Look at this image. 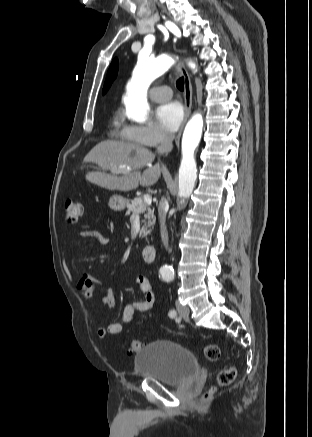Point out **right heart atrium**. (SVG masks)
Instances as JSON below:
<instances>
[{
	"label": "right heart atrium",
	"mask_w": 312,
	"mask_h": 437,
	"mask_svg": "<svg viewBox=\"0 0 312 437\" xmlns=\"http://www.w3.org/2000/svg\"><path fill=\"white\" fill-rule=\"evenodd\" d=\"M121 138L150 147L167 143L170 139L169 135L153 122L127 124L122 129Z\"/></svg>",
	"instance_id": "d8ad5b80"
}]
</instances>
